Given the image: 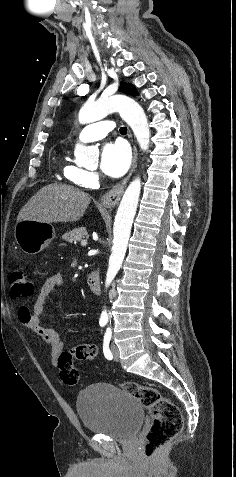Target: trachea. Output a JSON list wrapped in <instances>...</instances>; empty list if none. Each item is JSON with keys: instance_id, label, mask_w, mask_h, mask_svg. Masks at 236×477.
Wrapping results in <instances>:
<instances>
[{"instance_id": "obj_1", "label": "trachea", "mask_w": 236, "mask_h": 477, "mask_svg": "<svg viewBox=\"0 0 236 477\" xmlns=\"http://www.w3.org/2000/svg\"><path fill=\"white\" fill-rule=\"evenodd\" d=\"M120 133L121 134H126L127 133V127H121L120 128Z\"/></svg>"}]
</instances>
